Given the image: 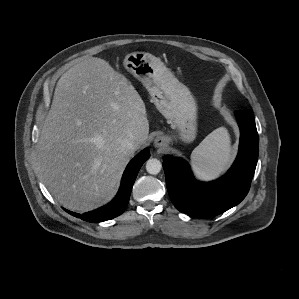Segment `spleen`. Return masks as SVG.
<instances>
[{
    "label": "spleen",
    "instance_id": "1",
    "mask_svg": "<svg viewBox=\"0 0 299 299\" xmlns=\"http://www.w3.org/2000/svg\"><path fill=\"white\" fill-rule=\"evenodd\" d=\"M232 151L229 134L224 127L210 133L191 155L197 171L204 177H213L230 162Z\"/></svg>",
    "mask_w": 299,
    "mask_h": 299
}]
</instances>
